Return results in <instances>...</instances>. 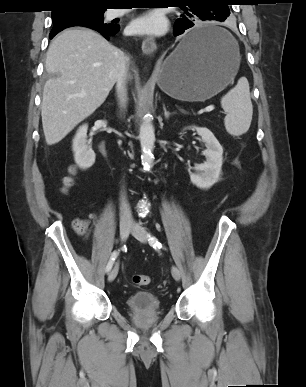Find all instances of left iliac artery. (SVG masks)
<instances>
[{"label": "left iliac artery", "mask_w": 306, "mask_h": 387, "mask_svg": "<svg viewBox=\"0 0 306 387\" xmlns=\"http://www.w3.org/2000/svg\"><path fill=\"white\" fill-rule=\"evenodd\" d=\"M149 244L154 248H162V244L158 241V239L155 236L148 235Z\"/></svg>", "instance_id": "1"}]
</instances>
